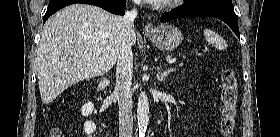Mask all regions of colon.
<instances>
[{
    "label": "colon",
    "mask_w": 280,
    "mask_h": 137,
    "mask_svg": "<svg viewBox=\"0 0 280 137\" xmlns=\"http://www.w3.org/2000/svg\"><path fill=\"white\" fill-rule=\"evenodd\" d=\"M221 101H222V121L221 128L226 136H230L236 123V103H237V78L230 68H223L221 71ZM53 136L58 135L59 130L53 128Z\"/></svg>",
    "instance_id": "colon-1"
}]
</instances>
